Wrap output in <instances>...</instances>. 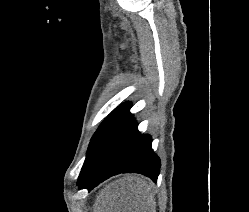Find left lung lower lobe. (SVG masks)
<instances>
[{
	"label": "left lung lower lobe",
	"instance_id": "1",
	"mask_svg": "<svg viewBox=\"0 0 249 212\" xmlns=\"http://www.w3.org/2000/svg\"><path fill=\"white\" fill-rule=\"evenodd\" d=\"M151 136L140 134L129 110L103 136L81 172L79 189L89 191L119 173H140L157 182L160 159L151 148Z\"/></svg>",
	"mask_w": 249,
	"mask_h": 212
}]
</instances>
